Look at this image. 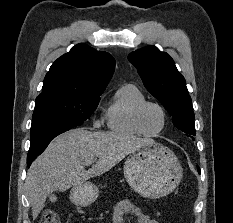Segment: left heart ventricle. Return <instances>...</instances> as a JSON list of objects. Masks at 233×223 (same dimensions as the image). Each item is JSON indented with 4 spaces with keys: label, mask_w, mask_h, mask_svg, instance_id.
<instances>
[{
    "label": "left heart ventricle",
    "mask_w": 233,
    "mask_h": 223,
    "mask_svg": "<svg viewBox=\"0 0 233 223\" xmlns=\"http://www.w3.org/2000/svg\"><path fill=\"white\" fill-rule=\"evenodd\" d=\"M143 125L150 133L160 132L164 127V116L155 106H148L143 113Z\"/></svg>",
    "instance_id": "left-heart-ventricle-1"
}]
</instances>
